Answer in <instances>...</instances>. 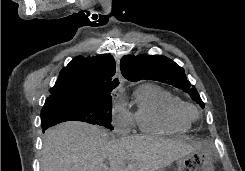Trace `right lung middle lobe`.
I'll return each instance as SVG.
<instances>
[{"label":"right lung middle lobe","mask_w":245,"mask_h":171,"mask_svg":"<svg viewBox=\"0 0 245 171\" xmlns=\"http://www.w3.org/2000/svg\"><path fill=\"white\" fill-rule=\"evenodd\" d=\"M112 98L105 95L88 100H58L44 104L41 111L42 128L76 120L97 124L108 129L111 126Z\"/></svg>","instance_id":"right-lung-middle-lobe-1"}]
</instances>
